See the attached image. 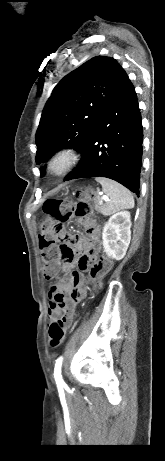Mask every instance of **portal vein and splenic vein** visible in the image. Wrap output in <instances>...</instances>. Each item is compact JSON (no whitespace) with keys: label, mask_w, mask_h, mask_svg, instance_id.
Here are the masks:
<instances>
[{"label":"portal vein and splenic vein","mask_w":165,"mask_h":461,"mask_svg":"<svg viewBox=\"0 0 165 461\" xmlns=\"http://www.w3.org/2000/svg\"><path fill=\"white\" fill-rule=\"evenodd\" d=\"M103 201L107 202L109 201V199L106 197V196H103L100 200H99V204H103Z\"/></svg>","instance_id":"obj_1"}]
</instances>
